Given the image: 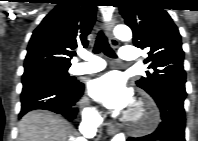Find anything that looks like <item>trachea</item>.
I'll return each instance as SVG.
<instances>
[{
    "label": "trachea",
    "instance_id": "3493384b",
    "mask_svg": "<svg viewBox=\"0 0 198 141\" xmlns=\"http://www.w3.org/2000/svg\"><path fill=\"white\" fill-rule=\"evenodd\" d=\"M101 51L110 58L117 57L115 52L113 51V49L109 46L107 38H106L103 30H101L98 33V36L95 41L94 49H93V52L95 54L100 53Z\"/></svg>",
    "mask_w": 198,
    "mask_h": 141
}]
</instances>
